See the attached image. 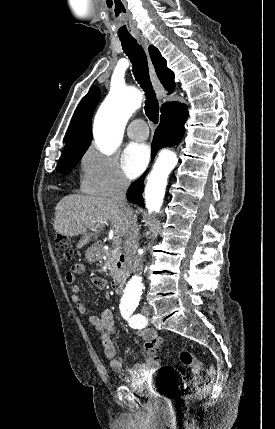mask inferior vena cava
Listing matches in <instances>:
<instances>
[{
	"label": "inferior vena cava",
	"mask_w": 275,
	"mask_h": 429,
	"mask_svg": "<svg viewBox=\"0 0 275 429\" xmlns=\"http://www.w3.org/2000/svg\"><path fill=\"white\" fill-rule=\"evenodd\" d=\"M128 187V180L124 177H120L116 184L112 200L119 205L126 216V233L123 247L127 266L133 273L141 274L143 270L142 258L137 253L139 228L137 216L126 200V191Z\"/></svg>",
	"instance_id": "1"
}]
</instances>
